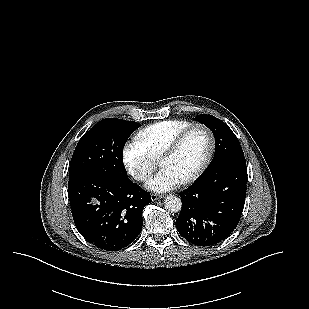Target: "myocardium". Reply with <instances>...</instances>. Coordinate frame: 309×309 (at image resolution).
I'll list each match as a JSON object with an SVG mask.
<instances>
[{
    "instance_id": "obj_1",
    "label": "myocardium",
    "mask_w": 309,
    "mask_h": 309,
    "mask_svg": "<svg viewBox=\"0 0 309 309\" xmlns=\"http://www.w3.org/2000/svg\"><path fill=\"white\" fill-rule=\"evenodd\" d=\"M198 128L203 129L207 133V136H208V139H209V149H208V153H207L203 163L201 164V166L193 174H191L189 177H187V178H185L181 181V183L185 184V185L190 184V183L196 181L198 178H200L211 163V160H212L214 152H215V137H214V134L209 127H207L206 125L201 124V123L191 124L190 126L185 128L184 130H182L170 142V144L166 147V149L164 150V152L160 156V160H159V163L161 165V163L165 159L173 156L177 152V150L180 148L181 144L183 143L185 138L189 135V133L191 131H193L194 129H198Z\"/></svg>"
}]
</instances>
